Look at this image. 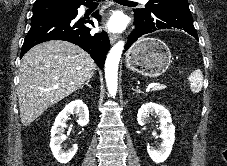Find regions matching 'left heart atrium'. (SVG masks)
Masks as SVG:
<instances>
[{"label": "left heart atrium", "instance_id": "obj_1", "mask_svg": "<svg viewBox=\"0 0 227 166\" xmlns=\"http://www.w3.org/2000/svg\"><path fill=\"white\" fill-rule=\"evenodd\" d=\"M106 27L111 31H121L125 27V19L122 15H114L108 20Z\"/></svg>", "mask_w": 227, "mask_h": 166}]
</instances>
